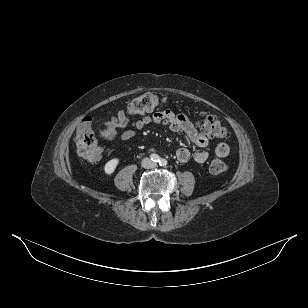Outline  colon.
<instances>
[{
    "label": "colon",
    "instance_id": "5ec220e1",
    "mask_svg": "<svg viewBox=\"0 0 308 308\" xmlns=\"http://www.w3.org/2000/svg\"><path fill=\"white\" fill-rule=\"evenodd\" d=\"M168 101L165 97L153 93H145L134 98L127 106V114L139 115L151 113L153 111H166ZM202 133L212 139L223 138L226 135V128L212 115H202L198 122ZM100 136L108 140L117 138L115 128L102 127ZM75 144L78 154L88 162H95L101 157V149L92 127V118L85 117L78 125L75 134ZM209 170L214 175H220L227 170V164L220 156H215L209 166Z\"/></svg>",
    "mask_w": 308,
    "mask_h": 308
}]
</instances>
